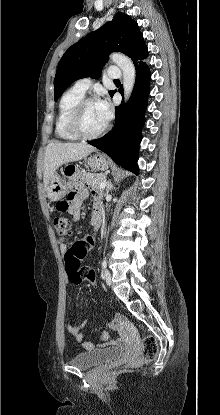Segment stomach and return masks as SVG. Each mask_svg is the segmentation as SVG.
<instances>
[{"label": "stomach", "instance_id": "obj_1", "mask_svg": "<svg viewBox=\"0 0 220 415\" xmlns=\"http://www.w3.org/2000/svg\"><path fill=\"white\" fill-rule=\"evenodd\" d=\"M87 164L96 171H104L109 168V161L101 154L90 155L87 159ZM72 178H61L58 174H55L49 181L46 187V193L49 199L57 201L62 199L69 189H71Z\"/></svg>", "mask_w": 220, "mask_h": 415}]
</instances>
